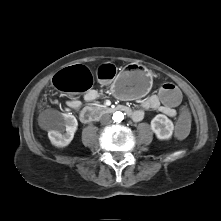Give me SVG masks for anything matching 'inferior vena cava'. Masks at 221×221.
Wrapping results in <instances>:
<instances>
[{"label": "inferior vena cava", "instance_id": "1", "mask_svg": "<svg viewBox=\"0 0 221 221\" xmlns=\"http://www.w3.org/2000/svg\"><path fill=\"white\" fill-rule=\"evenodd\" d=\"M111 122L110 115H103L101 118V123L102 124H109Z\"/></svg>", "mask_w": 221, "mask_h": 221}]
</instances>
